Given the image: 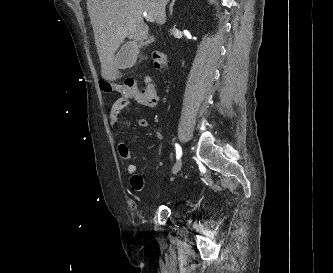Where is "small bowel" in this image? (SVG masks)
<instances>
[{"mask_svg": "<svg viewBox=\"0 0 333 273\" xmlns=\"http://www.w3.org/2000/svg\"><path fill=\"white\" fill-rule=\"evenodd\" d=\"M156 84H153L150 79L146 80V84H143L141 90L138 89L135 95H129L128 97L119 98L111 107L110 116L112 126H116L118 122V114L122 109H124L129 102H137L138 104L153 108L157 105V95H156ZM152 95V96H149ZM138 126L141 128H146L149 126V122L145 119H139L137 122ZM118 151L120 157L125 161H130L133 157L131 149L124 142H120L118 145ZM127 173L131 176L130 185L133 190L140 192L144 189L143 178L136 174L137 167L135 164H128L126 167Z\"/></svg>", "mask_w": 333, "mask_h": 273, "instance_id": "obj_1", "label": "small bowel"}]
</instances>
